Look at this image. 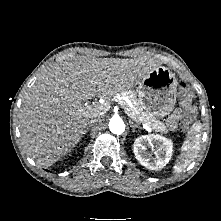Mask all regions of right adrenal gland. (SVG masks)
I'll return each instance as SVG.
<instances>
[{"mask_svg": "<svg viewBox=\"0 0 221 221\" xmlns=\"http://www.w3.org/2000/svg\"><path fill=\"white\" fill-rule=\"evenodd\" d=\"M90 127H91V126H88V127L85 129L84 134H86V133L88 132V130H89Z\"/></svg>", "mask_w": 221, "mask_h": 221, "instance_id": "right-adrenal-gland-1", "label": "right adrenal gland"}]
</instances>
